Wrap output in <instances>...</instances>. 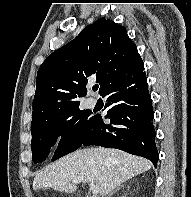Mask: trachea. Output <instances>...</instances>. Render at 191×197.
Listing matches in <instances>:
<instances>
[{"mask_svg":"<svg viewBox=\"0 0 191 197\" xmlns=\"http://www.w3.org/2000/svg\"><path fill=\"white\" fill-rule=\"evenodd\" d=\"M98 88H99V86H98V85H94V86H93V90H94V91H97V90H98Z\"/></svg>","mask_w":191,"mask_h":197,"instance_id":"trachea-1","label":"trachea"}]
</instances>
